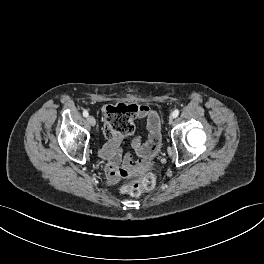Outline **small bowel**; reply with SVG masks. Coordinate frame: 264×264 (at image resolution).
I'll return each instance as SVG.
<instances>
[{
  "instance_id": "small-bowel-1",
  "label": "small bowel",
  "mask_w": 264,
  "mask_h": 264,
  "mask_svg": "<svg viewBox=\"0 0 264 264\" xmlns=\"http://www.w3.org/2000/svg\"><path fill=\"white\" fill-rule=\"evenodd\" d=\"M136 107V118L146 121L148 139L143 142L140 137H135L130 143L135 153L145 160L153 157L161 148L160 118L158 113L148 105L141 104ZM106 126L107 122H105L104 129ZM108 138V142L100 150V156L109 162L106 167L109 181L116 183L121 173L133 168L134 164L129 154H122L123 144L129 141L127 135L115 134ZM120 164H122V169L119 168ZM137 168H143V166L139 164Z\"/></svg>"
}]
</instances>
